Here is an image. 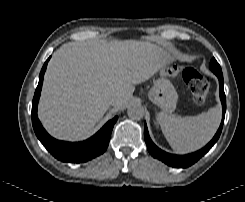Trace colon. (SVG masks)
<instances>
[{"label":"colon","instance_id":"obj_1","mask_svg":"<svg viewBox=\"0 0 245 202\" xmlns=\"http://www.w3.org/2000/svg\"><path fill=\"white\" fill-rule=\"evenodd\" d=\"M183 78L185 82L190 86L195 101H204L210 87L209 78L199 73L193 67H187L184 69Z\"/></svg>","mask_w":245,"mask_h":202}]
</instances>
